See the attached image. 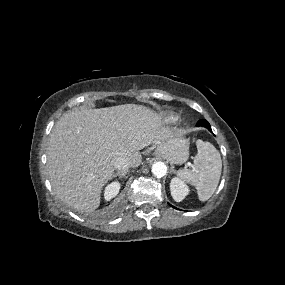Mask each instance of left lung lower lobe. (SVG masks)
I'll return each instance as SVG.
<instances>
[{
  "label": "left lung lower lobe",
  "instance_id": "left-lung-lower-lobe-1",
  "mask_svg": "<svg viewBox=\"0 0 285 285\" xmlns=\"http://www.w3.org/2000/svg\"><path fill=\"white\" fill-rule=\"evenodd\" d=\"M197 125H198V126H204V127L208 128V129L212 132L210 124H209L208 121H206L205 119L200 120V121L197 123ZM169 205H170V204H169ZM170 206L173 207L172 205H170ZM175 209H176V208H175Z\"/></svg>",
  "mask_w": 285,
  "mask_h": 285
}]
</instances>
